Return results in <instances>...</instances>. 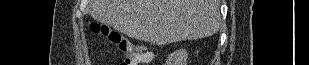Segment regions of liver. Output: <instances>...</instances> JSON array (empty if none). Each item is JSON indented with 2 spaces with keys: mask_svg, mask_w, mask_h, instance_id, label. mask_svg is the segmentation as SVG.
Wrapping results in <instances>:
<instances>
[{
  "mask_svg": "<svg viewBox=\"0 0 309 65\" xmlns=\"http://www.w3.org/2000/svg\"><path fill=\"white\" fill-rule=\"evenodd\" d=\"M94 20L131 38L165 45L217 33L219 0H89Z\"/></svg>",
  "mask_w": 309,
  "mask_h": 65,
  "instance_id": "liver-1",
  "label": "liver"
}]
</instances>
